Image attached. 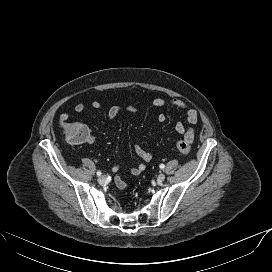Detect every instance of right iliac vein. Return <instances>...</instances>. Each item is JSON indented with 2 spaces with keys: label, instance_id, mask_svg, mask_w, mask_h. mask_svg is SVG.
<instances>
[{
  "label": "right iliac vein",
  "instance_id": "obj_1",
  "mask_svg": "<svg viewBox=\"0 0 272 272\" xmlns=\"http://www.w3.org/2000/svg\"><path fill=\"white\" fill-rule=\"evenodd\" d=\"M98 182H99L100 184L105 183V182H106V177H105L104 175L100 176V177L98 178Z\"/></svg>",
  "mask_w": 272,
  "mask_h": 272
}]
</instances>
